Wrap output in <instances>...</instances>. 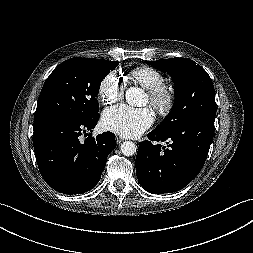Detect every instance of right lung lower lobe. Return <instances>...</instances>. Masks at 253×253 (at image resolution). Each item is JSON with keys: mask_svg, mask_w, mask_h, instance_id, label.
Here are the masks:
<instances>
[{"mask_svg": "<svg viewBox=\"0 0 253 253\" xmlns=\"http://www.w3.org/2000/svg\"><path fill=\"white\" fill-rule=\"evenodd\" d=\"M99 116L86 121L46 115L34 119L33 146L39 171L46 183L64 194L91 190L100 180L107 156L116 147L112 132L88 137Z\"/></svg>", "mask_w": 253, "mask_h": 253, "instance_id": "obj_1", "label": "right lung lower lobe"}]
</instances>
